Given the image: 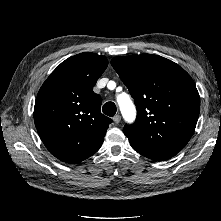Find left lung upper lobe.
Segmentation results:
<instances>
[{
	"instance_id": "5c2ea615",
	"label": "left lung upper lobe",
	"mask_w": 221,
	"mask_h": 221,
	"mask_svg": "<svg viewBox=\"0 0 221 221\" xmlns=\"http://www.w3.org/2000/svg\"><path fill=\"white\" fill-rule=\"evenodd\" d=\"M111 65L137 107L136 121L124 127L132 148L156 161L175 156L192 137L199 116L192 78L176 63L151 54L115 57Z\"/></svg>"
}]
</instances>
